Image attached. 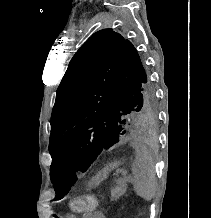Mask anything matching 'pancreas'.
<instances>
[{
    "mask_svg": "<svg viewBox=\"0 0 211 218\" xmlns=\"http://www.w3.org/2000/svg\"><path fill=\"white\" fill-rule=\"evenodd\" d=\"M130 180V178H129ZM127 180H116L117 186H114L111 190V200H119L120 196H123L127 190Z\"/></svg>",
    "mask_w": 211,
    "mask_h": 218,
    "instance_id": "cf45deb5",
    "label": "pancreas"
}]
</instances>
